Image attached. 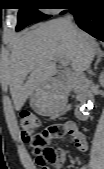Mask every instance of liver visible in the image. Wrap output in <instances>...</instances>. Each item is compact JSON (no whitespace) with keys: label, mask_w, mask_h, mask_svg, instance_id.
Wrapping results in <instances>:
<instances>
[{"label":"liver","mask_w":104,"mask_h":169,"mask_svg":"<svg viewBox=\"0 0 104 169\" xmlns=\"http://www.w3.org/2000/svg\"><path fill=\"white\" fill-rule=\"evenodd\" d=\"M99 44L66 19L57 18L19 34L5 73L15 110L19 111L35 90L57 71L56 58H65L76 75L90 66Z\"/></svg>","instance_id":"6515ba94"}]
</instances>
